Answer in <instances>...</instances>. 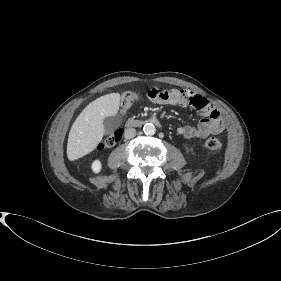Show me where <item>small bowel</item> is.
I'll list each match as a JSON object with an SVG mask.
<instances>
[{"label": "small bowel", "instance_id": "obj_1", "mask_svg": "<svg viewBox=\"0 0 281 281\" xmlns=\"http://www.w3.org/2000/svg\"><path fill=\"white\" fill-rule=\"evenodd\" d=\"M149 99L159 105L178 107H193L204 117L196 127L181 126L178 134L185 138L204 139L212 134L221 133L224 121L219 110L205 97L184 89H151L148 91Z\"/></svg>", "mask_w": 281, "mask_h": 281}]
</instances>
